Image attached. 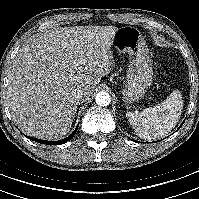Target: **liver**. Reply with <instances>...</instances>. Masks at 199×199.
Masks as SVG:
<instances>
[{"label":"liver","instance_id":"1","mask_svg":"<svg viewBox=\"0 0 199 199\" xmlns=\"http://www.w3.org/2000/svg\"><path fill=\"white\" fill-rule=\"evenodd\" d=\"M115 26H76L46 31L24 45L8 75L12 118L27 135L57 140L73 123L75 88L90 99L113 67Z\"/></svg>","mask_w":199,"mask_h":199}]
</instances>
